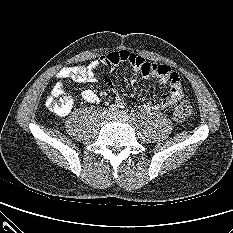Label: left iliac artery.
<instances>
[{"label":"left iliac artery","mask_w":233,"mask_h":233,"mask_svg":"<svg viewBox=\"0 0 233 233\" xmlns=\"http://www.w3.org/2000/svg\"><path fill=\"white\" fill-rule=\"evenodd\" d=\"M129 118H130L131 121H134V120H135V115L131 113V114L129 115Z\"/></svg>","instance_id":"left-iliac-artery-1"}]
</instances>
